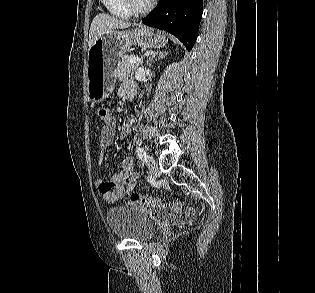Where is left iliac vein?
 <instances>
[{
	"label": "left iliac vein",
	"mask_w": 315,
	"mask_h": 293,
	"mask_svg": "<svg viewBox=\"0 0 315 293\" xmlns=\"http://www.w3.org/2000/svg\"><path fill=\"white\" fill-rule=\"evenodd\" d=\"M147 168L151 175L155 178L159 172V168L156 161L151 156H148L147 158Z\"/></svg>",
	"instance_id": "obj_1"
}]
</instances>
